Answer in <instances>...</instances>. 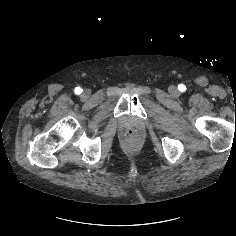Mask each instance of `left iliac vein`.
Wrapping results in <instances>:
<instances>
[{"label":"left iliac vein","instance_id":"1","mask_svg":"<svg viewBox=\"0 0 236 236\" xmlns=\"http://www.w3.org/2000/svg\"><path fill=\"white\" fill-rule=\"evenodd\" d=\"M169 92L172 94V95H177L178 94V90L175 86H171L169 88Z\"/></svg>","mask_w":236,"mask_h":236}]
</instances>
